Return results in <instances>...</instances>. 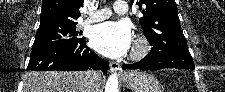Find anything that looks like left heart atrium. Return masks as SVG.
<instances>
[{"label": "left heart atrium", "mask_w": 225, "mask_h": 92, "mask_svg": "<svg viewBox=\"0 0 225 92\" xmlns=\"http://www.w3.org/2000/svg\"><path fill=\"white\" fill-rule=\"evenodd\" d=\"M131 36V29L126 22L108 21L92 29L90 43L102 55L117 58L129 50Z\"/></svg>", "instance_id": "1"}]
</instances>
